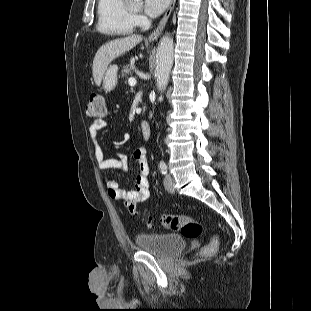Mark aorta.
Masks as SVG:
<instances>
[{
    "mask_svg": "<svg viewBox=\"0 0 311 311\" xmlns=\"http://www.w3.org/2000/svg\"><path fill=\"white\" fill-rule=\"evenodd\" d=\"M174 60V42L169 36H163L156 51L155 77L159 91H164L169 82V76Z\"/></svg>",
    "mask_w": 311,
    "mask_h": 311,
    "instance_id": "1",
    "label": "aorta"
}]
</instances>
